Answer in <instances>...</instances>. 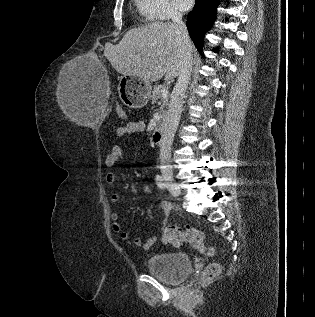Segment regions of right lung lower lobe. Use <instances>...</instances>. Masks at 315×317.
<instances>
[{
    "instance_id": "obj_1",
    "label": "right lung lower lobe",
    "mask_w": 315,
    "mask_h": 317,
    "mask_svg": "<svg viewBox=\"0 0 315 317\" xmlns=\"http://www.w3.org/2000/svg\"><path fill=\"white\" fill-rule=\"evenodd\" d=\"M218 3V0H196L193 10L188 13L187 28L199 52H202L205 32L215 21Z\"/></svg>"
}]
</instances>
